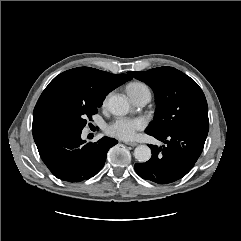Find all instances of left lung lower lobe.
Returning <instances> with one entry per match:
<instances>
[{"label": "left lung lower lobe", "instance_id": "left-lung-lower-lobe-1", "mask_svg": "<svg viewBox=\"0 0 241 241\" xmlns=\"http://www.w3.org/2000/svg\"><path fill=\"white\" fill-rule=\"evenodd\" d=\"M209 124H196L166 134H147L163 141L162 147L150 145L152 157L145 163H136V173L143 179L168 184L184 177L202 153Z\"/></svg>", "mask_w": 241, "mask_h": 241}]
</instances>
